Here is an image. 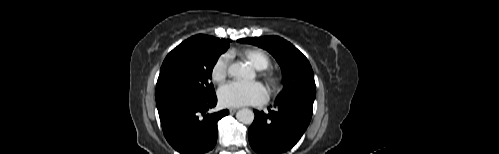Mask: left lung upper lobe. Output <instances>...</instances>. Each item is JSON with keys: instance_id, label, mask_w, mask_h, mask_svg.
<instances>
[{"instance_id": "5c2ea615", "label": "left lung upper lobe", "mask_w": 499, "mask_h": 154, "mask_svg": "<svg viewBox=\"0 0 499 154\" xmlns=\"http://www.w3.org/2000/svg\"><path fill=\"white\" fill-rule=\"evenodd\" d=\"M267 50L279 63L283 74L284 88L277 101L292 96L315 97L314 74L307 58L290 42L278 36L253 37L237 40Z\"/></svg>"}]
</instances>
